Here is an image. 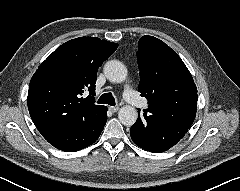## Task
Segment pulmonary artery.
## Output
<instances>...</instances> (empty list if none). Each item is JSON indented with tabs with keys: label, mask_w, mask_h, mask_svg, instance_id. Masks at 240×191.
<instances>
[{
	"label": "pulmonary artery",
	"mask_w": 240,
	"mask_h": 191,
	"mask_svg": "<svg viewBox=\"0 0 240 191\" xmlns=\"http://www.w3.org/2000/svg\"><path fill=\"white\" fill-rule=\"evenodd\" d=\"M123 96L133 106H138L141 103V98L130 86L124 88Z\"/></svg>",
	"instance_id": "1"
}]
</instances>
